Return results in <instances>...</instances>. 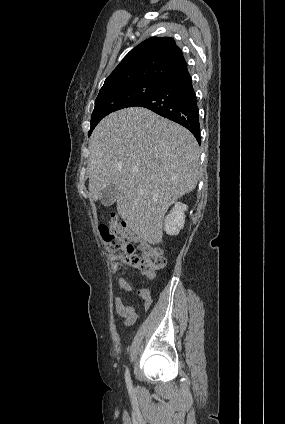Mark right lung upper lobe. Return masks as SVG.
I'll list each match as a JSON object with an SVG mask.
<instances>
[{
    "instance_id": "1",
    "label": "right lung upper lobe",
    "mask_w": 285,
    "mask_h": 424,
    "mask_svg": "<svg viewBox=\"0 0 285 424\" xmlns=\"http://www.w3.org/2000/svg\"><path fill=\"white\" fill-rule=\"evenodd\" d=\"M187 71L180 48L170 37H151L133 48L107 77L100 91L140 81L167 82Z\"/></svg>"
}]
</instances>
